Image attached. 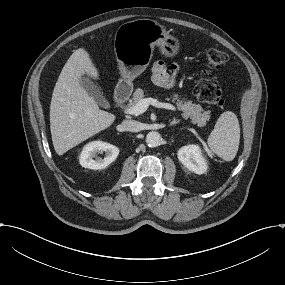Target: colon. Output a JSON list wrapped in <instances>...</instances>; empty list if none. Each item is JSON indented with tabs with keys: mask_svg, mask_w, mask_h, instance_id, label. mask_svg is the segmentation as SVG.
<instances>
[{
	"mask_svg": "<svg viewBox=\"0 0 285 285\" xmlns=\"http://www.w3.org/2000/svg\"><path fill=\"white\" fill-rule=\"evenodd\" d=\"M206 62L211 68H219L227 62V54L217 48H211L206 51ZM195 97L207 104L223 106L224 99L222 90L218 82L210 76H203L198 79L194 86Z\"/></svg>",
	"mask_w": 285,
	"mask_h": 285,
	"instance_id": "obj_1",
	"label": "colon"
}]
</instances>
